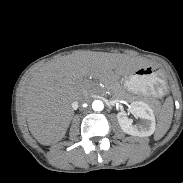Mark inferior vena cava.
<instances>
[{
	"instance_id": "inferior-vena-cava-1",
	"label": "inferior vena cava",
	"mask_w": 183,
	"mask_h": 183,
	"mask_svg": "<svg viewBox=\"0 0 183 183\" xmlns=\"http://www.w3.org/2000/svg\"><path fill=\"white\" fill-rule=\"evenodd\" d=\"M80 103H85L88 101V97L87 96H84V97H81L79 100H78ZM77 103V102H75Z\"/></svg>"
}]
</instances>
